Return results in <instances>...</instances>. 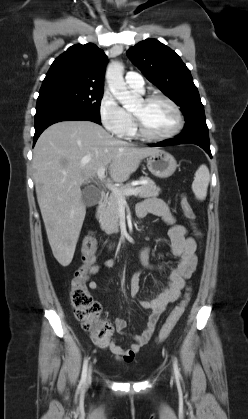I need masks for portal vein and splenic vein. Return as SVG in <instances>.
<instances>
[{"mask_svg":"<svg viewBox=\"0 0 248 419\" xmlns=\"http://www.w3.org/2000/svg\"><path fill=\"white\" fill-rule=\"evenodd\" d=\"M97 176L99 178L100 181L105 182L106 186L114 193L118 196V198L120 199V202H124L122 195H136L138 193V189H128L125 191H120L117 187L113 186L112 183L110 181H106L105 180V168L101 167L98 169L97 171Z\"/></svg>","mask_w":248,"mask_h":419,"instance_id":"obj_1","label":"portal vein and splenic vein"}]
</instances>
